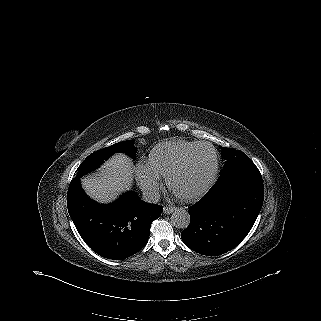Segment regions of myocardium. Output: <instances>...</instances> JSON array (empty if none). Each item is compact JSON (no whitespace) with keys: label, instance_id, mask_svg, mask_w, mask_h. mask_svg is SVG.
<instances>
[{"label":"myocardium","instance_id":"1","mask_svg":"<svg viewBox=\"0 0 321 321\" xmlns=\"http://www.w3.org/2000/svg\"><path fill=\"white\" fill-rule=\"evenodd\" d=\"M201 147H208L212 150L213 155H214V170L212 173V176L210 178V180L208 181V183L202 187L200 190H198L197 192L191 194V195H187V196H180L175 194L172 189H171V184H172V180L174 178V176L176 174H178L179 172H181L189 163L191 157L193 156V154L195 153V151ZM218 171H219V157H218V153L216 151V149L214 148L213 145H211L210 143L207 142H199L197 145H195L179 162H177L166 174L165 176V182L167 185L168 190L178 199L182 200V201H193L199 197H201L202 195H204L215 183L216 179H217V175H218Z\"/></svg>","mask_w":321,"mask_h":321}]
</instances>
